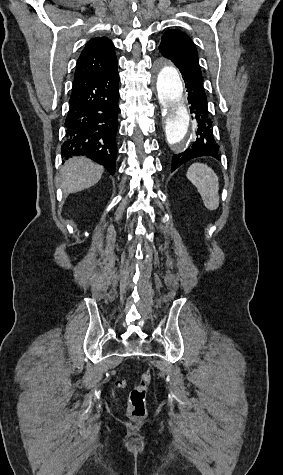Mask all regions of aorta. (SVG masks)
I'll list each match as a JSON object with an SVG mask.
<instances>
[{"label":"aorta","instance_id":"aorta-1","mask_svg":"<svg viewBox=\"0 0 283 475\" xmlns=\"http://www.w3.org/2000/svg\"><path fill=\"white\" fill-rule=\"evenodd\" d=\"M156 88L163 107L165 143L177 153L184 152L191 143L193 127L184 102L183 84L178 70L172 65H159Z\"/></svg>","mask_w":283,"mask_h":475}]
</instances>
